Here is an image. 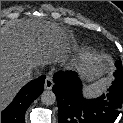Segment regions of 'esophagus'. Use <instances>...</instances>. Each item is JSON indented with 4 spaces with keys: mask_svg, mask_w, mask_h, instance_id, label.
Instances as JSON below:
<instances>
[{
    "mask_svg": "<svg viewBox=\"0 0 123 123\" xmlns=\"http://www.w3.org/2000/svg\"><path fill=\"white\" fill-rule=\"evenodd\" d=\"M53 84L54 83H53L52 77L51 76H46L45 83H44L45 89H47V90L52 89Z\"/></svg>",
    "mask_w": 123,
    "mask_h": 123,
    "instance_id": "esophagus-1",
    "label": "esophagus"
}]
</instances>
